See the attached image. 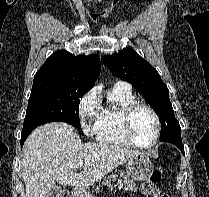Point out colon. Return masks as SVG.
Segmentation results:
<instances>
[{
	"label": "colon",
	"instance_id": "5ec220e1",
	"mask_svg": "<svg viewBox=\"0 0 209 197\" xmlns=\"http://www.w3.org/2000/svg\"><path fill=\"white\" fill-rule=\"evenodd\" d=\"M161 179V173L159 171H154L150 179L144 182L141 186V191L144 197H168L164 194L158 186ZM59 197H71L68 192H62Z\"/></svg>",
	"mask_w": 209,
	"mask_h": 197
}]
</instances>
